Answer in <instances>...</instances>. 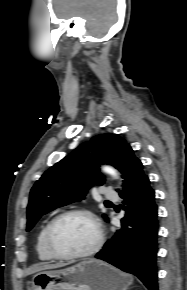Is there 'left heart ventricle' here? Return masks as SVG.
<instances>
[{"label":"left heart ventricle","mask_w":187,"mask_h":290,"mask_svg":"<svg viewBox=\"0 0 187 290\" xmlns=\"http://www.w3.org/2000/svg\"><path fill=\"white\" fill-rule=\"evenodd\" d=\"M56 248L67 254L89 250L95 240L96 231L91 221L80 215H73L61 220L54 231Z\"/></svg>","instance_id":"b2bd125f"}]
</instances>
